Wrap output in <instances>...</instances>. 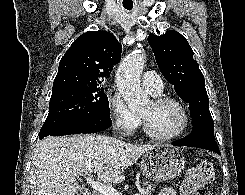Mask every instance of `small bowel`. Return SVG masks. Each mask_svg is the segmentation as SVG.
Listing matches in <instances>:
<instances>
[{"label":"small bowel","instance_id":"obj_1","mask_svg":"<svg viewBox=\"0 0 245 195\" xmlns=\"http://www.w3.org/2000/svg\"><path fill=\"white\" fill-rule=\"evenodd\" d=\"M158 195H175V191L171 187L163 188Z\"/></svg>","mask_w":245,"mask_h":195}]
</instances>
